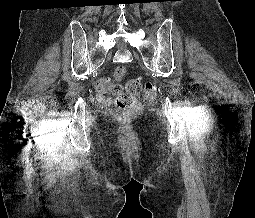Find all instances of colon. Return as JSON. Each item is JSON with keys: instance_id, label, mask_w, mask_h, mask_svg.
<instances>
[{"instance_id": "5ec220e1", "label": "colon", "mask_w": 255, "mask_h": 218, "mask_svg": "<svg viewBox=\"0 0 255 218\" xmlns=\"http://www.w3.org/2000/svg\"><path fill=\"white\" fill-rule=\"evenodd\" d=\"M124 73L125 68L123 66H119L115 70L116 78L122 77ZM98 89L102 93H112L115 96L116 106L128 116L140 110V105L135 98L136 95L141 94L143 99L148 102L156 99L155 86L150 82L142 84L139 78L127 80L124 86L111 80L102 79L98 82Z\"/></svg>"}]
</instances>
